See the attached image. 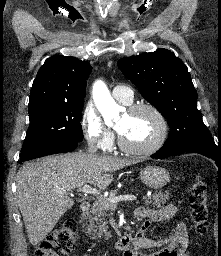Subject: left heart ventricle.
<instances>
[{"label":"left heart ventricle","instance_id":"obj_1","mask_svg":"<svg viewBox=\"0 0 221 256\" xmlns=\"http://www.w3.org/2000/svg\"><path fill=\"white\" fill-rule=\"evenodd\" d=\"M116 128L124 141L133 147L150 145L159 133L157 119L151 112L146 110L135 114L125 113Z\"/></svg>","mask_w":221,"mask_h":256}]
</instances>
